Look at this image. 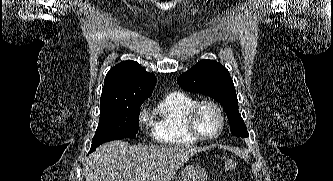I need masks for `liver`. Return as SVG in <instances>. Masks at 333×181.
I'll return each mask as SVG.
<instances>
[{"label": "liver", "mask_w": 333, "mask_h": 181, "mask_svg": "<svg viewBox=\"0 0 333 181\" xmlns=\"http://www.w3.org/2000/svg\"><path fill=\"white\" fill-rule=\"evenodd\" d=\"M206 148L191 145H130L115 140L99 146L85 164L86 181H171L190 157Z\"/></svg>", "instance_id": "6515ba94"}]
</instances>
